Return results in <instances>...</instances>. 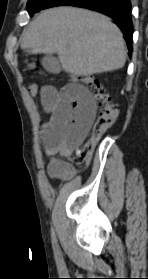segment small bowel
I'll return each mask as SVG.
<instances>
[{"label":"small bowel","mask_w":148,"mask_h":279,"mask_svg":"<svg viewBox=\"0 0 148 279\" xmlns=\"http://www.w3.org/2000/svg\"><path fill=\"white\" fill-rule=\"evenodd\" d=\"M47 118L40 128L45 153L51 157L47 166L50 178L71 180L75 168L56 157L69 156L87 137L95 117L96 105L91 92L79 83L61 89L46 86L40 91Z\"/></svg>","instance_id":"small-bowel-1"}]
</instances>
